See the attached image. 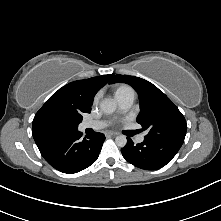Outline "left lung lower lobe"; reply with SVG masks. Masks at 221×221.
Here are the masks:
<instances>
[{"label":"left lung lower lobe","mask_w":221,"mask_h":221,"mask_svg":"<svg viewBox=\"0 0 221 221\" xmlns=\"http://www.w3.org/2000/svg\"><path fill=\"white\" fill-rule=\"evenodd\" d=\"M182 143L176 141L150 140L144 138L139 144L127 137V144L121 149L123 157L134 166L155 170L169 163L176 155Z\"/></svg>","instance_id":"0a47b994"}]
</instances>
